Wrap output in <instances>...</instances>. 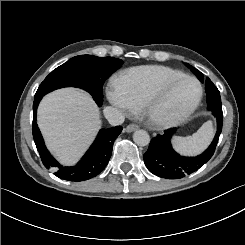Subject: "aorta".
I'll return each mask as SVG.
<instances>
[{
  "label": "aorta",
  "instance_id": "1",
  "mask_svg": "<svg viewBox=\"0 0 245 245\" xmlns=\"http://www.w3.org/2000/svg\"><path fill=\"white\" fill-rule=\"evenodd\" d=\"M133 140L138 146H146L150 142V136L145 130H136L133 134Z\"/></svg>",
  "mask_w": 245,
  "mask_h": 245
}]
</instances>
